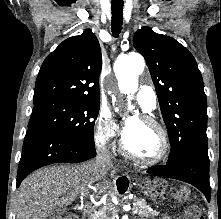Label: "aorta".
<instances>
[{
  "instance_id": "aorta-1",
  "label": "aorta",
  "mask_w": 221,
  "mask_h": 219,
  "mask_svg": "<svg viewBox=\"0 0 221 219\" xmlns=\"http://www.w3.org/2000/svg\"><path fill=\"white\" fill-rule=\"evenodd\" d=\"M144 66V59L138 54L119 57L116 60L114 72L121 93L132 94L137 90V77L143 72ZM129 108H131L130 103Z\"/></svg>"
}]
</instances>
